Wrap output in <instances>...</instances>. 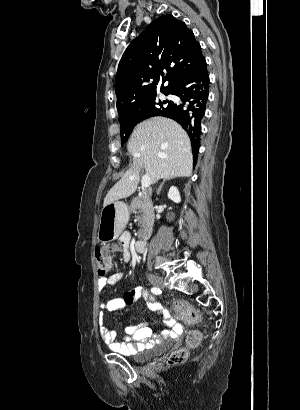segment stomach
Returning a JSON list of instances; mask_svg holds the SVG:
<instances>
[{
	"label": "stomach",
	"instance_id": "obj_1",
	"mask_svg": "<svg viewBox=\"0 0 300 410\" xmlns=\"http://www.w3.org/2000/svg\"><path fill=\"white\" fill-rule=\"evenodd\" d=\"M128 220L129 210L124 202L115 201L104 206L100 216L98 240H115L126 227Z\"/></svg>",
	"mask_w": 300,
	"mask_h": 410
}]
</instances>
